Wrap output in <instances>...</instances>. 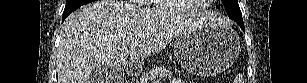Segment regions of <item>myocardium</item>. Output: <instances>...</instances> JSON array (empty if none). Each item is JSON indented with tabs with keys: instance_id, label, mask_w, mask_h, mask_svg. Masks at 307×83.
Returning <instances> with one entry per match:
<instances>
[{
	"instance_id": "obj_1",
	"label": "myocardium",
	"mask_w": 307,
	"mask_h": 83,
	"mask_svg": "<svg viewBox=\"0 0 307 83\" xmlns=\"http://www.w3.org/2000/svg\"><path fill=\"white\" fill-rule=\"evenodd\" d=\"M168 4L172 7H174L176 9V11L180 14H193V13H198L202 10L205 9L206 5L204 4H200V5H197L195 6L194 8L192 9H189V10H182L179 8L178 6V3H177V0H169L168 1Z\"/></svg>"
}]
</instances>
